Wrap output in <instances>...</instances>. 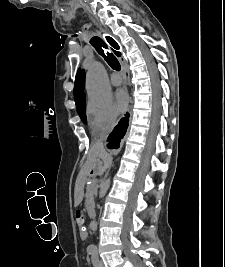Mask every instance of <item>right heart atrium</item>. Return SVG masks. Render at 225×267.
I'll use <instances>...</instances> for the list:
<instances>
[{
  "instance_id": "d8ad5b80",
  "label": "right heart atrium",
  "mask_w": 225,
  "mask_h": 267,
  "mask_svg": "<svg viewBox=\"0 0 225 267\" xmlns=\"http://www.w3.org/2000/svg\"><path fill=\"white\" fill-rule=\"evenodd\" d=\"M87 116L94 134L109 132L117 123V113L110 103L90 101L87 105Z\"/></svg>"
}]
</instances>
